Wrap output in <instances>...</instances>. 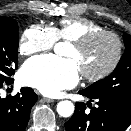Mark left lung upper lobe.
<instances>
[{"label": "left lung upper lobe", "instance_id": "obj_1", "mask_svg": "<svg viewBox=\"0 0 131 131\" xmlns=\"http://www.w3.org/2000/svg\"><path fill=\"white\" fill-rule=\"evenodd\" d=\"M125 51L115 70L84 91L94 97L115 99L131 106V36L123 35Z\"/></svg>", "mask_w": 131, "mask_h": 131}]
</instances>
